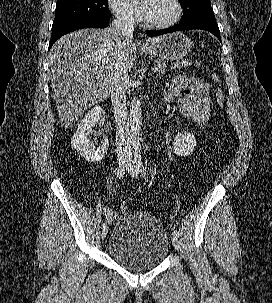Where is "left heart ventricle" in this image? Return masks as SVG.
Here are the masks:
<instances>
[{"mask_svg": "<svg viewBox=\"0 0 272 303\" xmlns=\"http://www.w3.org/2000/svg\"><path fill=\"white\" fill-rule=\"evenodd\" d=\"M172 0H148V12L145 19L152 23L166 22L174 14Z\"/></svg>", "mask_w": 272, "mask_h": 303, "instance_id": "b2bd125f", "label": "left heart ventricle"}]
</instances>
